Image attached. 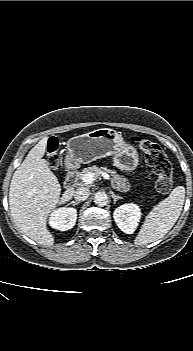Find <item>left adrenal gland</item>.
<instances>
[{"label": "left adrenal gland", "instance_id": "1", "mask_svg": "<svg viewBox=\"0 0 193 351\" xmlns=\"http://www.w3.org/2000/svg\"><path fill=\"white\" fill-rule=\"evenodd\" d=\"M111 194L114 203H116L117 200L122 199L121 196L114 194V192H111Z\"/></svg>", "mask_w": 193, "mask_h": 351}]
</instances>
